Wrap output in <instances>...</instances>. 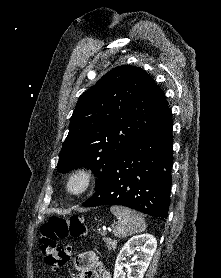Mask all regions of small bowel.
<instances>
[{
	"label": "small bowel",
	"mask_w": 221,
	"mask_h": 278,
	"mask_svg": "<svg viewBox=\"0 0 221 278\" xmlns=\"http://www.w3.org/2000/svg\"><path fill=\"white\" fill-rule=\"evenodd\" d=\"M75 267L79 272L77 278H111L105 262L93 251L80 253Z\"/></svg>",
	"instance_id": "small-bowel-1"
}]
</instances>
